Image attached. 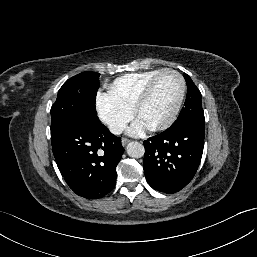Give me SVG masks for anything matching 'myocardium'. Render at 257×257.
Wrapping results in <instances>:
<instances>
[{
    "label": "myocardium",
    "instance_id": "obj_1",
    "mask_svg": "<svg viewBox=\"0 0 257 257\" xmlns=\"http://www.w3.org/2000/svg\"><path fill=\"white\" fill-rule=\"evenodd\" d=\"M166 74H174L179 78L180 81V94H179V98L178 101L174 107V109L172 110L171 114L169 115V117L164 120L162 123L157 124L155 126H152L150 128H148L150 131L152 132H156V131H162L167 129L168 127H170L175 120L177 119L180 110L182 108L184 99H185V94H186V81L185 78L183 77V75L178 72L177 70L174 69H165L163 71H161L158 75H156L143 89V91L141 92V94L139 95L138 99L135 102V105L133 107V112L134 115L136 117H138V114L140 112V110L142 109V107L146 104V102L149 100V98L152 95V92L157 84V82L160 80V78Z\"/></svg>",
    "mask_w": 257,
    "mask_h": 257
}]
</instances>
